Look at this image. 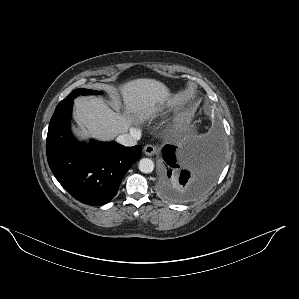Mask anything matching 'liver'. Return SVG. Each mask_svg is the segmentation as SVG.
<instances>
[{"label": "liver", "instance_id": "1", "mask_svg": "<svg viewBox=\"0 0 299 299\" xmlns=\"http://www.w3.org/2000/svg\"><path fill=\"white\" fill-rule=\"evenodd\" d=\"M115 91L120 92L124 102L123 113L113 111L101 98L75 99V117L79 125V128H73L76 136L110 141L127 133L134 124L153 118L165 103H175L169 88L155 79L131 80Z\"/></svg>", "mask_w": 299, "mask_h": 299}]
</instances>
